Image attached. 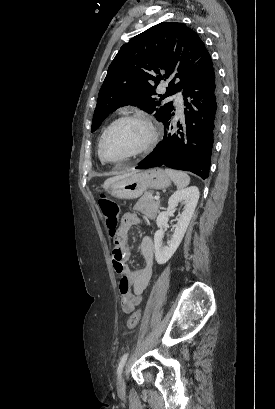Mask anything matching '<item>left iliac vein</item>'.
Here are the masks:
<instances>
[{
	"instance_id": "4c4485c4",
	"label": "left iliac vein",
	"mask_w": 275,
	"mask_h": 409,
	"mask_svg": "<svg viewBox=\"0 0 275 409\" xmlns=\"http://www.w3.org/2000/svg\"><path fill=\"white\" fill-rule=\"evenodd\" d=\"M117 389H118V392H123L125 390V382H124L123 375H120V377L118 378Z\"/></svg>"
}]
</instances>
